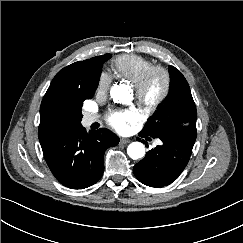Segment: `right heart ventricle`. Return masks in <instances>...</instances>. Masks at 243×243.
Wrapping results in <instances>:
<instances>
[{
	"instance_id": "e07e8e85",
	"label": "right heart ventricle",
	"mask_w": 243,
	"mask_h": 243,
	"mask_svg": "<svg viewBox=\"0 0 243 243\" xmlns=\"http://www.w3.org/2000/svg\"><path fill=\"white\" fill-rule=\"evenodd\" d=\"M152 66L151 60L135 54L120 55L111 63L114 73L132 85H135Z\"/></svg>"
}]
</instances>
